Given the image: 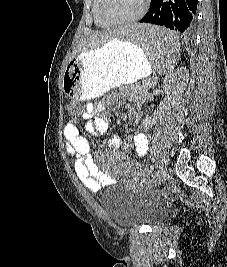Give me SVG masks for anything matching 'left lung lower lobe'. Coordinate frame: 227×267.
<instances>
[{"instance_id":"left-lung-lower-lobe-1","label":"left lung lower lobe","mask_w":227,"mask_h":267,"mask_svg":"<svg viewBox=\"0 0 227 267\" xmlns=\"http://www.w3.org/2000/svg\"><path fill=\"white\" fill-rule=\"evenodd\" d=\"M197 3L198 0H151L149 12L140 22L165 26L187 38L194 32Z\"/></svg>"}]
</instances>
